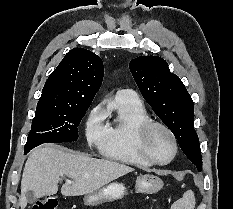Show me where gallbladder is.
Instances as JSON below:
<instances>
[{
  "label": "gallbladder",
  "mask_w": 233,
  "mask_h": 209,
  "mask_svg": "<svg viewBox=\"0 0 233 209\" xmlns=\"http://www.w3.org/2000/svg\"><path fill=\"white\" fill-rule=\"evenodd\" d=\"M26 198L29 203H34L36 201V198L31 191L27 192Z\"/></svg>",
  "instance_id": "gallbladder-1"
}]
</instances>
